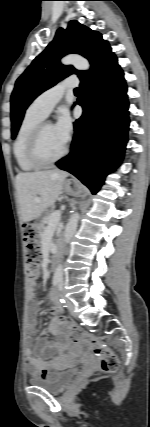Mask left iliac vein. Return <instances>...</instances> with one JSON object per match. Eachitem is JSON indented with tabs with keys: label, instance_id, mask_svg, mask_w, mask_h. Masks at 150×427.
Returning <instances> with one entry per match:
<instances>
[{
	"label": "left iliac vein",
	"instance_id": "1",
	"mask_svg": "<svg viewBox=\"0 0 150 427\" xmlns=\"http://www.w3.org/2000/svg\"><path fill=\"white\" fill-rule=\"evenodd\" d=\"M61 297L64 299V301H65V305L67 306V308H68V310L70 311V313L73 315V316H76V313H75V305H74V303L70 300V299H68V298H66V297H63V295L61 294Z\"/></svg>",
	"mask_w": 150,
	"mask_h": 427
}]
</instances>
